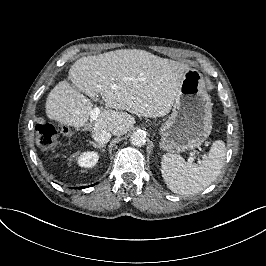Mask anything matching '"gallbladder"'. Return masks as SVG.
Wrapping results in <instances>:
<instances>
[{"instance_id": "bac80fb5", "label": "gallbladder", "mask_w": 266, "mask_h": 266, "mask_svg": "<svg viewBox=\"0 0 266 266\" xmlns=\"http://www.w3.org/2000/svg\"><path fill=\"white\" fill-rule=\"evenodd\" d=\"M75 90H76L77 92H80V90H79L77 87L75 88Z\"/></svg>"}]
</instances>
